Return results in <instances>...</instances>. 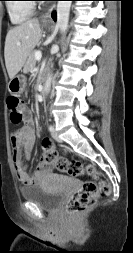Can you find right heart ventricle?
I'll list each match as a JSON object with an SVG mask.
<instances>
[{
	"mask_svg": "<svg viewBox=\"0 0 133 253\" xmlns=\"http://www.w3.org/2000/svg\"><path fill=\"white\" fill-rule=\"evenodd\" d=\"M7 9L14 24L25 22L34 12L33 4L26 0H12L7 4Z\"/></svg>",
	"mask_w": 133,
	"mask_h": 253,
	"instance_id": "1",
	"label": "right heart ventricle"
}]
</instances>
